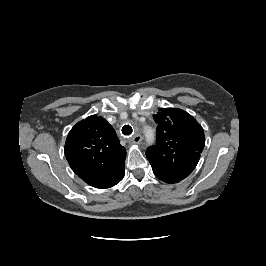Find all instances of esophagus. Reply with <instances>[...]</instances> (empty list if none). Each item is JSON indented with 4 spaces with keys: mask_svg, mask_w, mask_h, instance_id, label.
Wrapping results in <instances>:
<instances>
[{
    "mask_svg": "<svg viewBox=\"0 0 266 266\" xmlns=\"http://www.w3.org/2000/svg\"><path fill=\"white\" fill-rule=\"evenodd\" d=\"M141 141H142V136H141L140 134H136V135H134L133 138H132V142H133L134 144H140Z\"/></svg>",
    "mask_w": 266,
    "mask_h": 266,
    "instance_id": "34e87169",
    "label": "esophagus"
}]
</instances>
